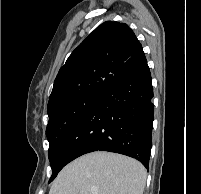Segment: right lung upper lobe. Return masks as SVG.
<instances>
[{"instance_id":"1","label":"right lung upper lobe","mask_w":201,"mask_h":194,"mask_svg":"<svg viewBox=\"0 0 201 194\" xmlns=\"http://www.w3.org/2000/svg\"><path fill=\"white\" fill-rule=\"evenodd\" d=\"M144 60L142 45L127 24L112 21L102 23L60 68L47 112L75 98L102 95Z\"/></svg>"}]
</instances>
